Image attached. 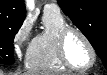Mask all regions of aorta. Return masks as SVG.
Instances as JSON below:
<instances>
[{
	"label": "aorta",
	"instance_id": "aorta-1",
	"mask_svg": "<svg viewBox=\"0 0 107 75\" xmlns=\"http://www.w3.org/2000/svg\"><path fill=\"white\" fill-rule=\"evenodd\" d=\"M27 6L30 10H33L34 6H35V3L33 0H28L27 1Z\"/></svg>",
	"mask_w": 107,
	"mask_h": 75
}]
</instances>
